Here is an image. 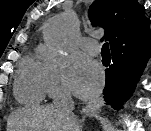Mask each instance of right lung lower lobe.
<instances>
[{
	"label": "right lung lower lobe",
	"mask_w": 151,
	"mask_h": 131,
	"mask_svg": "<svg viewBox=\"0 0 151 131\" xmlns=\"http://www.w3.org/2000/svg\"><path fill=\"white\" fill-rule=\"evenodd\" d=\"M112 56L113 64L106 70L103 94L105 101L119 110L133 93L151 56V48L134 50L131 47H122L112 51Z\"/></svg>",
	"instance_id": "1"
}]
</instances>
